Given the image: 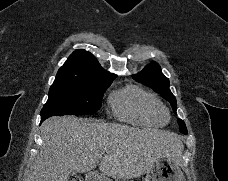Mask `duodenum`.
Listing matches in <instances>:
<instances>
[{
    "instance_id": "obj_1",
    "label": "duodenum",
    "mask_w": 228,
    "mask_h": 181,
    "mask_svg": "<svg viewBox=\"0 0 228 181\" xmlns=\"http://www.w3.org/2000/svg\"><path fill=\"white\" fill-rule=\"evenodd\" d=\"M87 176H88V181H99L98 174H94L93 172H88Z\"/></svg>"
}]
</instances>
